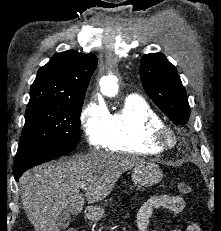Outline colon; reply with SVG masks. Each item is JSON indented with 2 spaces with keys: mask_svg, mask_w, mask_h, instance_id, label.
<instances>
[{
  "mask_svg": "<svg viewBox=\"0 0 221 231\" xmlns=\"http://www.w3.org/2000/svg\"><path fill=\"white\" fill-rule=\"evenodd\" d=\"M178 190L183 195H190L193 192L191 185L185 182H180L178 184ZM68 231H75V230H68Z\"/></svg>",
  "mask_w": 221,
  "mask_h": 231,
  "instance_id": "1",
  "label": "colon"
}]
</instances>
